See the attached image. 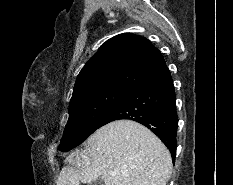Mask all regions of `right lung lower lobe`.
Segmentation results:
<instances>
[{"label": "right lung lower lobe", "instance_id": "1", "mask_svg": "<svg viewBox=\"0 0 233 185\" xmlns=\"http://www.w3.org/2000/svg\"><path fill=\"white\" fill-rule=\"evenodd\" d=\"M119 119L134 120L149 128L169 148L174 162L178 116L170 71L165 68L131 89L99 128Z\"/></svg>", "mask_w": 233, "mask_h": 185}]
</instances>
